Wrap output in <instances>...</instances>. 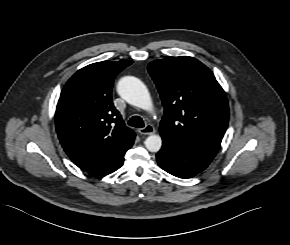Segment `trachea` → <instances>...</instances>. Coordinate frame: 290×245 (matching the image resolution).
Instances as JSON below:
<instances>
[{
	"mask_svg": "<svg viewBox=\"0 0 290 245\" xmlns=\"http://www.w3.org/2000/svg\"><path fill=\"white\" fill-rule=\"evenodd\" d=\"M128 124L136 128L144 127V122L140 116H133L130 118Z\"/></svg>",
	"mask_w": 290,
	"mask_h": 245,
	"instance_id": "trachea-1",
	"label": "trachea"
}]
</instances>
